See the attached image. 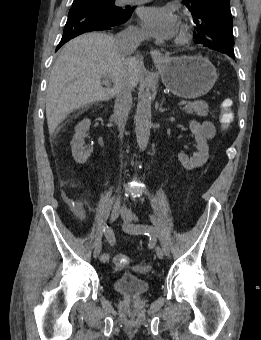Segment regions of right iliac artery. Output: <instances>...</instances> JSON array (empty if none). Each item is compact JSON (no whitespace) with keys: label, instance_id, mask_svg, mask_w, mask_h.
Wrapping results in <instances>:
<instances>
[{"label":"right iliac artery","instance_id":"82829eb1","mask_svg":"<svg viewBox=\"0 0 261 340\" xmlns=\"http://www.w3.org/2000/svg\"><path fill=\"white\" fill-rule=\"evenodd\" d=\"M102 232H103L105 238L107 239L109 245L111 247H113L116 243V238H115V234H114L113 230L110 227H108L107 225H104L102 227ZM109 260H110V254L109 253L105 252V253L101 254L100 261L102 263H107V262H109Z\"/></svg>","mask_w":261,"mask_h":340}]
</instances>
